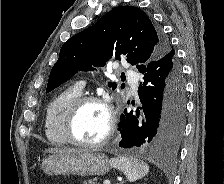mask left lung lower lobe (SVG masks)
I'll return each instance as SVG.
<instances>
[{"label":"left lung lower lobe","mask_w":224,"mask_h":184,"mask_svg":"<svg viewBox=\"0 0 224 184\" xmlns=\"http://www.w3.org/2000/svg\"><path fill=\"white\" fill-rule=\"evenodd\" d=\"M139 72L144 74L138 89L142 105L121 115L119 146L165 155L177 147L184 130L185 83L175 50Z\"/></svg>","instance_id":"obj_1"}]
</instances>
